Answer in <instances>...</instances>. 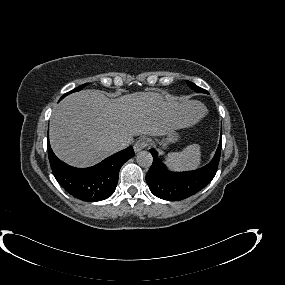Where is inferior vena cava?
<instances>
[{
    "mask_svg": "<svg viewBox=\"0 0 285 285\" xmlns=\"http://www.w3.org/2000/svg\"><path fill=\"white\" fill-rule=\"evenodd\" d=\"M127 145H128V143L125 140H117V141H114L112 143V146H113L115 151H120Z\"/></svg>",
    "mask_w": 285,
    "mask_h": 285,
    "instance_id": "602c4592",
    "label": "inferior vena cava"
}]
</instances>
